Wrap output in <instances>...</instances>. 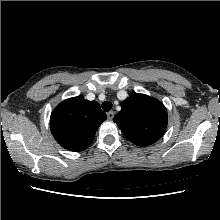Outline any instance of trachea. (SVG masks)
Wrapping results in <instances>:
<instances>
[{
  "label": "trachea",
  "instance_id": "trachea-1",
  "mask_svg": "<svg viewBox=\"0 0 220 220\" xmlns=\"http://www.w3.org/2000/svg\"><path fill=\"white\" fill-rule=\"evenodd\" d=\"M112 108V103L110 101H104L102 103V109L105 111V112H108L110 111Z\"/></svg>",
  "mask_w": 220,
  "mask_h": 220
}]
</instances>
